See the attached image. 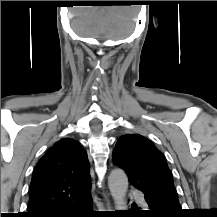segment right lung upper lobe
Instances as JSON below:
<instances>
[{
  "label": "right lung upper lobe",
  "instance_id": "obj_1",
  "mask_svg": "<svg viewBox=\"0 0 217 217\" xmlns=\"http://www.w3.org/2000/svg\"><path fill=\"white\" fill-rule=\"evenodd\" d=\"M87 153L74 139L56 142L38 161L31 180L26 217H44L86 201L91 195Z\"/></svg>",
  "mask_w": 217,
  "mask_h": 217
}]
</instances>
